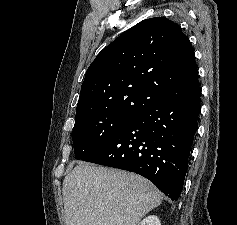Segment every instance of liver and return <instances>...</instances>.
Listing matches in <instances>:
<instances>
[{
    "label": "liver",
    "instance_id": "liver-1",
    "mask_svg": "<svg viewBox=\"0 0 237 225\" xmlns=\"http://www.w3.org/2000/svg\"><path fill=\"white\" fill-rule=\"evenodd\" d=\"M66 225H137L163 195L146 178L79 162L64 178Z\"/></svg>",
    "mask_w": 237,
    "mask_h": 225
}]
</instances>
